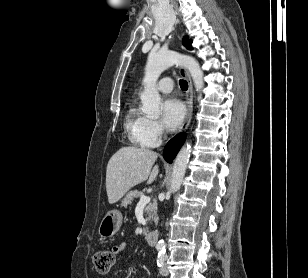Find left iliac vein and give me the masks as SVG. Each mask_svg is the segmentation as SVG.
<instances>
[{"label": "left iliac vein", "instance_id": "obj_1", "mask_svg": "<svg viewBox=\"0 0 308 278\" xmlns=\"http://www.w3.org/2000/svg\"><path fill=\"white\" fill-rule=\"evenodd\" d=\"M159 272L163 276H167L169 274V270L166 264H163L162 267H160Z\"/></svg>", "mask_w": 308, "mask_h": 278}]
</instances>
